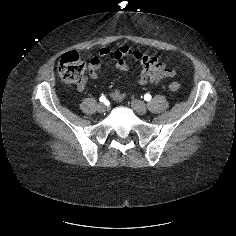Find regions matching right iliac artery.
<instances>
[{
    "instance_id": "obj_1",
    "label": "right iliac artery",
    "mask_w": 236,
    "mask_h": 236,
    "mask_svg": "<svg viewBox=\"0 0 236 236\" xmlns=\"http://www.w3.org/2000/svg\"><path fill=\"white\" fill-rule=\"evenodd\" d=\"M100 102H105L106 101V97L104 95H102L100 98H99Z\"/></svg>"
}]
</instances>
